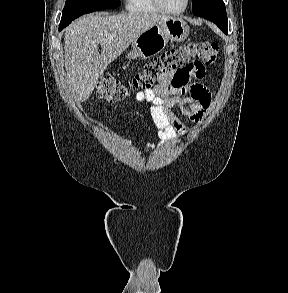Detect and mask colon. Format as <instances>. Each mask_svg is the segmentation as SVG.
<instances>
[{"mask_svg":"<svg viewBox=\"0 0 288 293\" xmlns=\"http://www.w3.org/2000/svg\"><path fill=\"white\" fill-rule=\"evenodd\" d=\"M218 52L219 46L215 42L189 41L148 62L126 84L111 74L103 75L97 83V95L110 103L123 101L132 90L150 89L162 75L178 71L193 62L200 60L207 65L214 64Z\"/></svg>","mask_w":288,"mask_h":293,"instance_id":"5ec220e1","label":"colon"}]
</instances>
